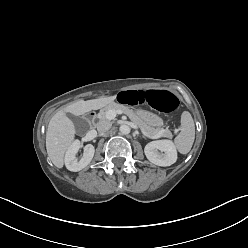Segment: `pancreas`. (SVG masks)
I'll return each instance as SVG.
<instances>
[{
    "mask_svg": "<svg viewBox=\"0 0 248 248\" xmlns=\"http://www.w3.org/2000/svg\"><path fill=\"white\" fill-rule=\"evenodd\" d=\"M109 110H121L123 113H125L135 124H137L141 129H143L146 133H148L149 135H157L159 134L163 128H153L151 126H149L148 124H146L143 120H141L137 114L130 109L127 106L121 105V104H117V103H111L109 105H107L106 107H104L103 109L100 110L99 113V118L102 119H106V113ZM160 137H167V138H171L172 134L168 129H165V131L160 133Z\"/></svg>",
    "mask_w": 248,
    "mask_h": 248,
    "instance_id": "pancreas-1",
    "label": "pancreas"
}]
</instances>
